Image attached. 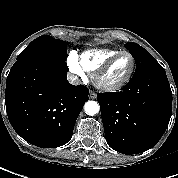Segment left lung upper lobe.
<instances>
[{"label": "left lung upper lobe", "mask_w": 178, "mask_h": 178, "mask_svg": "<svg viewBox=\"0 0 178 178\" xmlns=\"http://www.w3.org/2000/svg\"><path fill=\"white\" fill-rule=\"evenodd\" d=\"M125 47L129 50L136 62V70L133 77L164 69L147 50L137 43L128 42Z\"/></svg>", "instance_id": "obj_1"}]
</instances>
